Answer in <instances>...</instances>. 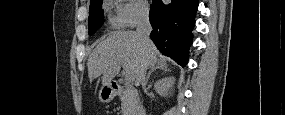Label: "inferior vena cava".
I'll return each instance as SVG.
<instances>
[{"mask_svg":"<svg viewBox=\"0 0 285 115\" xmlns=\"http://www.w3.org/2000/svg\"><path fill=\"white\" fill-rule=\"evenodd\" d=\"M152 32V26L149 21V16L144 15L140 18L137 28H136V34L137 37L139 38L140 42L143 45H146L150 42V33ZM145 74H146V69L142 68L139 73V81L144 86L145 84Z\"/></svg>","mask_w":285,"mask_h":115,"instance_id":"obj_1","label":"inferior vena cava"}]
</instances>
